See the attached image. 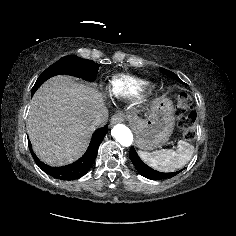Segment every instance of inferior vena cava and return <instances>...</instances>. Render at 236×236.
Returning <instances> with one entry per match:
<instances>
[{
    "label": "inferior vena cava",
    "mask_w": 236,
    "mask_h": 236,
    "mask_svg": "<svg viewBox=\"0 0 236 236\" xmlns=\"http://www.w3.org/2000/svg\"><path fill=\"white\" fill-rule=\"evenodd\" d=\"M107 120H108V112L107 110H103L93 118L91 125L94 129L99 128L104 126L107 123Z\"/></svg>",
    "instance_id": "1"
}]
</instances>
